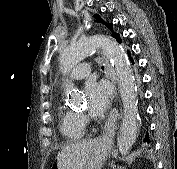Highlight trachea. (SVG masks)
I'll return each mask as SVG.
<instances>
[{
  "mask_svg": "<svg viewBox=\"0 0 177 169\" xmlns=\"http://www.w3.org/2000/svg\"><path fill=\"white\" fill-rule=\"evenodd\" d=\"M101 69L104 70V67L102 66Z\"/></svg>",
  "mask_w": 177,
  "mask_h": 169,
  "instance_id": "trachea-1",
  "label": "trachea"
}]
</instances>
